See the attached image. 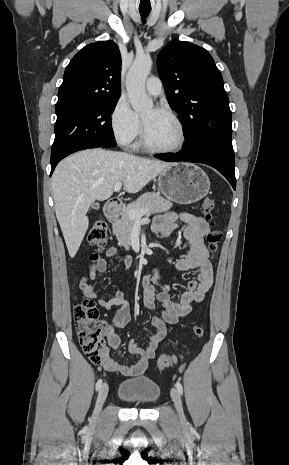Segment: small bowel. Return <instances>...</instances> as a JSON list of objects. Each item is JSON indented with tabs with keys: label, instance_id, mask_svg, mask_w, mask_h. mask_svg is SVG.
Returning <instances> with one entry per match:
<instances>
[{
	"label": "small bowel",
	"instance_id": "obj_1",
	"mask_svg": "<svg viewBox=\"0 0 289 465\" xmlns=\"http://www.w3.org/2000/svg\"><path fill=\"white\" fill-rule=\"evenodd\" d=\"M185 223L184 237L188 242L185 254L178 259L176 268L180 272L194 270L197 276L188 286L179 301H175L170 288L164 283L163 276L158 269L142 279L143 304L151 310H158L161 317H154L151 324L154 333L149 336L147 343L142 346L137 341L131 340L128 349L131 354L138 356L139 360L133 364H122L113 359L106 348L99 364L107 371L120 372L125 376H138L144 372L148 361L155 357L159 344L167 334L166 324H175L179 317L189 314L195 303L201 302L212 286L213 271L208 259L209 252L205 244V236L209 231L207 222L200 216L188 213L166 212L157 216L152 229L161 237L170 235L180 223ZM119 253L116 247H110L106 251L108 258H113ZM133 259L130 255L124 256V264L131 266ZM107 270V262L104 258H98L90 266L89 276L95 280L97 272ZM80 289L85 297L96 299L99 306L110 310L113 306H120L114 314L112 324L102 323L107 342L111 350L119 352L120 337L116 333L117 328L125 327L131 321L130 306L125 301L120 289H117L110 300L98 296L95 287L88 283L87 278L80 282Z\"/></svg>",
	"mask_w": 289,
	"mask_h": 465
}]
</instances>
